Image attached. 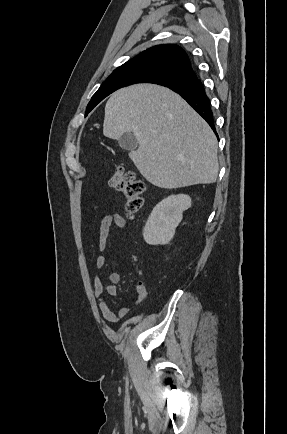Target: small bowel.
<instances>
[{
	"label": "small bowel",
	"mask_w": 287,
	"mask_h": 434,
	"mask_svg": "<svg viewBox=\"0 0 287 434\" xmlns=\"http://www.w3.org/2000/svg\"><path fill=\"white\" fill-rule=\"evenodd\" d=\"M112 227L125 230L127 227V221L121 214L117 213H107L102 217L99 225V238L97 244L100 252H103L106 248L107 240ZM105 264L106 256L104 254H100L96 258V267L98 269H102ZM121 279V274L119 272L113 271L108 274V283H105L100 275H96L93 281L94 295L98 301L102 316L108 323L111 324L117 323L121 318L126 317L130 312L129 307H120L117 312H114L111 310L105 300V293L110 296H115L117 294L116 285L121 282ZM146 297L147 288L144 282L138 281L135 286L134 304L138 305L142 303Z\"/></svg>",
	"instance_id": "c3829d8e"
}]
</instances>
